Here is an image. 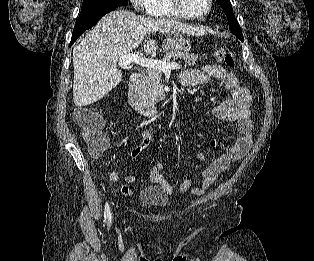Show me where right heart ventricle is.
I'll use <instances>...</instances> for the list:
<instances>
[{"instance_id":"e07e8e85","label":"right heart ventricle","mask_w":314,"mask_h":261,"mask_svg":"<svg viewBox=\"0 0 314 261\" xmlns=\"http://www.w3.org/2000/svg\"><path fill=\"white\" fill-rule=\"evenodd\" d=\"M148 13L156 17L185 18L172 7L169 0H152Z\"/></svg>"}]
</instances>
